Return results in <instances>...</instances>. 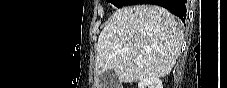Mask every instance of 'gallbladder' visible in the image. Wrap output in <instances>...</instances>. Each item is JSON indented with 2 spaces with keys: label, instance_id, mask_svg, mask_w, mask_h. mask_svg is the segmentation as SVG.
I'll return each mask as SVG.
<instances>
[{
  "label": "gallbladder",
  "instance_id": "bac80fb5",
  "mask_svg": "<svg viewBox=\"0 0 227 88\" xmlns=\"http://www.w3.org/2000/svg\"><path fill=\"white\" fill-rule=\"evenodd\" d=\"M99 84L102 88H117L120 80L114 70H107L100 74Z\"/></svg>",
  "mask_w": 227,
  "mask_h": 88
}]
</instances>
